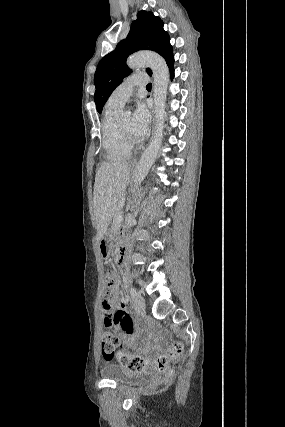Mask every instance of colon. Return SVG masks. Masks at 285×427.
<instances>
[{"instance_id": "5ec220e1", "label": "colon", "mask_w": 285, "mask_h": 427, "mask_svg": "<svg viewBox=\"0 0 285 427\" xmlns=\"http://www.w3.org/2000/svg\"><path fill=\"white\" fill-rule=\"evenodd\" d=\"M105 282L106 290L104 299L110 298L113 293L114 275L111 271L105 273ZM121 343V326L115 323L110 330L103 334L102 356L106 361L117 359L123 366L131 370H143L150 366L155 372L167 373L171 363L183 354V344L181 342H176L167 347L156 358L149 360L137 355L121 352L119 350ZM167 382L168 380H165V383Z\"/></svg>"}]
</instances>
